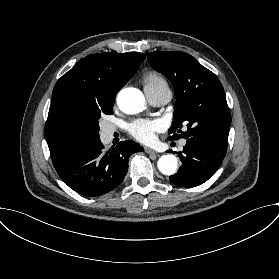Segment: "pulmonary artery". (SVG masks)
Returning a JSON list of instances; mask_svg holds the SVG:
<instances>
[{
    "mask_svg": "<svg viewBox=\"0 0 279 279\" xmlns=\"http://www.w3.org/2000/svg\"><path fill=\"white\" fill-rule=\"evenodd\" d=\"M144 92L147 99L155 106L162 105L171 99V90L167 83H161L156 86H145ZM116 131V128L109 125L105 128L107 135H112Z\"/></svg>",
    "mask_w": 279,
    "mask_h": 279,
    "instance_id": "obj_1",
    "label": "pulmonary artery"
}]
</instances>
